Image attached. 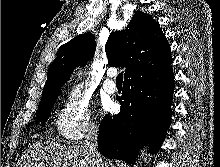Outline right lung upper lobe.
<instances>
[{"instance_id": "cb5924a9", "label": "right lung upper lobe", "mask_w": 220, "mask_h": 167, "mask_svg": "<svg viewBox=\"0 0 220 167\" xmlns=\"http://www.w3.org/2000/svg\"><path fill=\"white\" fill-rule=\"evenodd\" d=\"M95 39L90 32L63 44L48 70L41 101L60 91L77 66H84L95 52ZM110 66L125 67V78L141 70L155 68L171 61L168 42L149 14L136 11L128 26L112 32L106 43Z\"/></svg>"}]
</instances>
